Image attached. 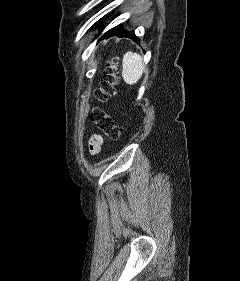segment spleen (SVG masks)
Instances as JSON below:
<instances>
[{"mask_svg": "<svg viewBox=\"0 0 240 281\" xmlns=\"http://www.w3.org/2000/svg\"><path fill=\"white\" fill-rule=\"evenodd\" d=\"M122 77L129 85H134L144 73L142 57L137 53L127 52L122 60Z\"/></svg>", "mask_w": 240, "mask_h": 281, "instance_id": "spleen-1", "label": "spleen"}]
</instances>
